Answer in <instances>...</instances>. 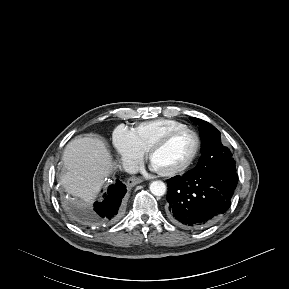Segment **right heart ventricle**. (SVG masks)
I'll return each mask as SVG.
<instances>
[{
  "mask_svg": "<svg viewBox=\"0 0 289 289\" xmlns=\"http://www.w3.org/2000/svg\"><path fill=\"white\" fill-rule=\"evenodd\" d=\"M186 127L185 124L173 119H155L135 126L131 133L138 148L144 153L164 135L175 129Z\"/></svg>",
  "mask_w": 289,
  "mask_h": 289,
  "instance_id": "right-heart-ventricle-1",
  "label": "right heart ventricle"
}]
</instances>
